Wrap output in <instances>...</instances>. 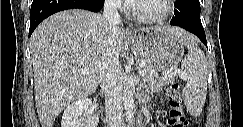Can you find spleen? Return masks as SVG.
<instances>
[{"label":"spleen","mask_w":243,"mask_h":127,"mask_svg":"<svg viewBox=\"0 0 243 127\" xmlns=\"http://www.w3.org/2000/svg\"><path fill=\"white\" fill-rule=\"evenodd\" d=\"M177 38L188 48V54L181 62L182 75L187 82L183 89L184 102L191 113L199 114L207 95L206 58L192 36L178 35Z\"/></svg>","instance_id":"spleen-1"}]
</instances>
